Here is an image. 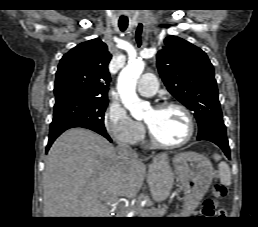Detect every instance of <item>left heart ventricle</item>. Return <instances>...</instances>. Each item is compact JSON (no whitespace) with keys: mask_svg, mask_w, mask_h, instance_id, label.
Wrapping results in <instances>:
<instances>
[{"mask_svg":"<svg viewBox=\"0 0 258 227\" xmlns=\"http://www.w3.org/2000/svg\"><path fill=\"white\" fill-rule=\"evenodd\" d=\"M144 121L158 139L166 143L179 142L188 133L187 119L177 108H166L162 110L151 108L146 112Z\"/></svg>","mask_w":258,"mask_h":227,"instance_id":"b2bd125f","label":"left heart ventricle"}]
</instances>
